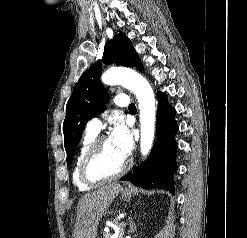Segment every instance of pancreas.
<instances>
[{"mask_svg": "<svg viewBox=\"0 0 247 238\" xmlns=\"http://www.w3.org/2000/svg\"><path fill=\"white\" fill-rule=\"evenodd\" d=\"M116 223H117V228H118V235L115 238H123L125 226L120 225V223L118 222ZM111 236L112 234L108 232L103 233V238H112Z\"/></svg>", "mask_w": 247, "mask_h": 238, "instance_id": "pancreas-1", "label": "pancreas"}]
</instances>
